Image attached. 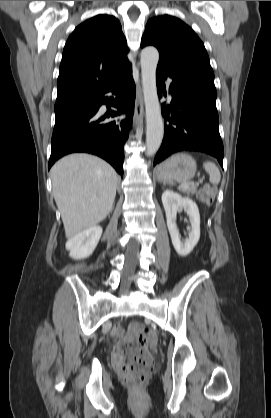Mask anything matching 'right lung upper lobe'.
Here are the masks:
<instances>
[{
  "instance_id": "cb5924a9",
  "label": "right lung upper lobe",
  "mask_w": 271,
  "mask_h": 418,
  "mask_svg": "<svg viewBox=\"0 0 271 418\" xmlns=\"http://www.w3.org/2000/svg\"><path fill=\"white\" fill-rule=\"evenodd\" d=\"M128 51L121 24L115 17L97 15L80 24L63 50L56 104L97 96L131 68Z\"/></svg>"
}]
</instances>
